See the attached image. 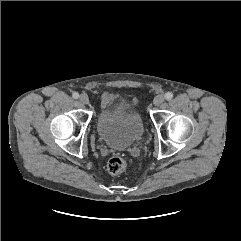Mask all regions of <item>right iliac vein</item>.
Masks as SVG:
<instances>
[{"label":"right iliac vein","instance_id":"63e3f726","mask_svg":"<svg viewBox=\"0 0 241 241\" xmlns=\"http://www.w3.org/2000/svg\"><path fill=\"white\" fill-rule=\"evenodd\" d=\"M79 100L83 104H88L89 103V98H88V96L86 94H81L79 96Z\"/></svg>","mask_w":241,"mask_h":241}]
</instances>
